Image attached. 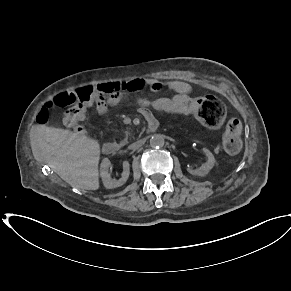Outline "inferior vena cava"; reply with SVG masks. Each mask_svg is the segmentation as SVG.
Returning a JSON list of instances; mask_svg holds the SVG:
<instances>
[{
	"label": "inferior vena cava",
	"mask_w": 291,
	"mask_h": 291,
	"mask_svg": "<svg viewBox=\"0 0 291 291\" xmlns=\"http://www.w3.org/2000/svg\"><path fill=\"white\" fill-rule=\"evenodd\" d=\"M145 141L144 140H138L134 143H132L129 148L130 149H133V150H136V149H139L142 145H144Z\"/></svg>",
	"instance_id": "602c4592"
}]
</instances>
